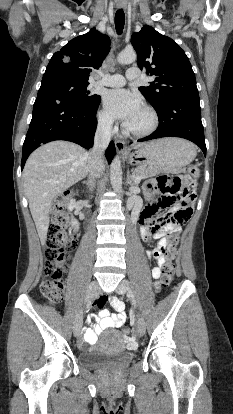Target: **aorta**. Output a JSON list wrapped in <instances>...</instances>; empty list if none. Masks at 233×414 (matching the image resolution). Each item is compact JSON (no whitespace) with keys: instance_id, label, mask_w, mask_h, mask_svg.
<instances>
[{"instance_id":"762f6f07","label":"aorta","mask_w":233,"mask_h":414,"mask_svg":"<svg viewBox=\"0 0 233 414\" xmlns=\"http://www.w3.org/2000/svg\"><path fill=\"white\" fill-rule=\"evenodd\" d=\"M136 58L137 55L134 50H124L118 55L117 61L120 64H131L136 61ZM110 181L115 192L122 191V169L119 156H116L111 163Z\"/></svg>"}]
</instances>
